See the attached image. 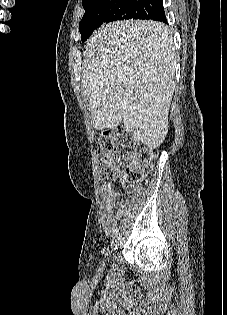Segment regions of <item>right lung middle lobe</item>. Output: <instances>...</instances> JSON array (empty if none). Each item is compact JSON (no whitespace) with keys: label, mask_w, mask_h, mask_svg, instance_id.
<instances>
[{"label":"right lung middle lobe","mask_w":227,"mask_h":315,"mask_svg":"<svg viewBox=\"0 0 227 315\" xmlns=\"http://www.w3.org/2000/svg\"><path fill=\"white\" fill-rule=\"evenodd\" d=\"M160 0H83L85 14L80 22L81 40L86 41L102 24L125 19H153Z\"/></svg>","instance_id":"right-lung-middle-lobe-1"}]
</instances>
